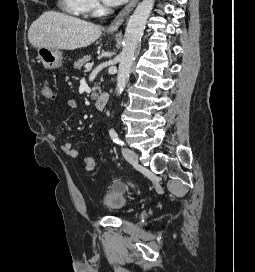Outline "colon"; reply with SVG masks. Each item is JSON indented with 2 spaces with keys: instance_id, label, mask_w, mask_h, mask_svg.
I'll list each match as a JSON object with an SVG mask.
<instances>
[{
  "instance_id": "obj_1",
  "label": "colon",
  "mask_w": 255,
  "mask_h": 272,
  "mask_svg": "<svg viewBox=\"0 0 255 272\" xmlns=\"http://www.w3.org/2000/svg\"><path fill=\"white\" fill-rule=\"evenodd\" d=\"M41 95L46 100H54L53 87L49 80H44L41 85ZM83 166L86 171L90 172L94 169V159L92 156H85L83 159Z\"/></svg>"
}]
</instances>
